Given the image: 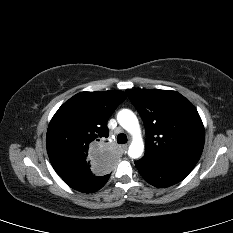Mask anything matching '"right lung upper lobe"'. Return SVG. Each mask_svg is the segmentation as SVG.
Instances as JSON below:
<instances>
[{
	"label": "right lung upper lobe",
	"mask_w": 233,
	"mask_h": 233,
	"mask_svg": "<svg viewBox=\"0 0 233 233\" xmlns=\"http://www.w3.org/2000/svg\"><path fill=\"white\" fill-rule=\"evenodd\" d=\"M126 97L119 90L81 92L57 110L48 126L46 146L61 178L111 168L113 154L105 147L107 121Z\"/></svg>",
	"instance_id": "cb5924a9"
}]
</instances>
